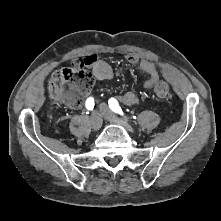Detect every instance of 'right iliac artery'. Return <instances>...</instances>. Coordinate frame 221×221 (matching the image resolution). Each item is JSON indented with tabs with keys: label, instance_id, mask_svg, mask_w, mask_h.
Masks as SVG:
<instances>
[{
	"label": "right iliac artery",
	"instance_id": "right-iliac-artery-1",
	"mask_svg": "<svg viewBox=\"0 0 221 221\" xmlns=\"http://www.w3.org/2000/svg\"><path fill=\"white\" fill-rule=\"evenodd\" d=\"M85 107L88 111H92L94 108V99L93 97H89L85 102Z\"/></svg>",
	"mask_w": 221,
	"mask_h": 221
}]
</instances>
